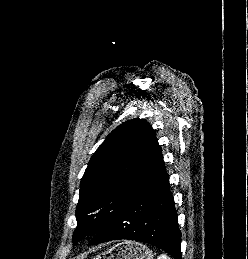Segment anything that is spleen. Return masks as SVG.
<instances>
[{
	"label": "spleen",
	"mask_w": 248,
	"mask_h": 259,
	"mask_svg": "<svg viewBox=\"0 0 248 259\" xmlns=\"http://www.w3.org/2000/svg\"><path fill=\"white\" fill-rule=\"evenodd\" d=\"M157 259H171L169 256H167L166 254H161L158 256Z\"/></svg>",
	"instance_id": "3e777b00"
}]
</instances>
